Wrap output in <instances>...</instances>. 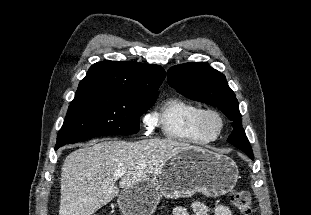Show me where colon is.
<instances>
[{
    "label": "colon",
    "instance_id": "colon-1",
    "mask_svg": "<svg viewBox=\"0 0 311 215\" xmlns=\"http://www.w3.org/2000/svg\"><path fill=\"white\" fill-rule=\"evenodd\" d=\"M230 199L234 207L243 215H250L252 212L253 199L251 194L245 190H233Z\"/></svg>",
    "mask_w": 311,
    "mask_h": 215
}]
</instances>
